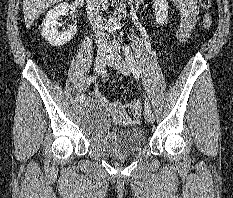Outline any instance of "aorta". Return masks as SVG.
I'll use <instances>...</instances> for the list:
<instances>
[{"label": "aorta", "mask_w": 233, "mask_h": 198, "mask_svg": "<svg viewBox=\"0 0 233 198\" xmlns=\"http://www.w3.org/2000/svg\"><path fill=\"white\" fill-rule=\"evenodd\" d=\"M103 3H102V7L104 8V9H106L107 8V5H106V1L107 0H101Z\"/></svg>", "instance_id": "762f6f07"}]
</instances>
